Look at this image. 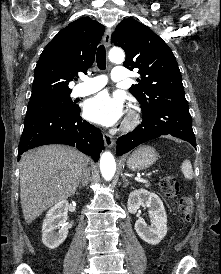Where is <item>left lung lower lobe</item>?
<instances>
[{
  "mask_svg": "<svg viewBox=\"0 0 221 274\" xmlns=\"http://www.w3.org/2000/svg\"><path fill=\"white\" fill-rule=\"evenodd\" d=\"M142 113V123L131 133L118 138V156L146 141L167 134L188 141L196 148L191 115L185 99L161 107H150L142 110Z\"/></svg>",
  "mask_w": 221,
  "mask_h": 274,
  "instance_id": "left-lung-lower-lobe-1",
  "label": "left lung lower lobe"
}]
</instances>
